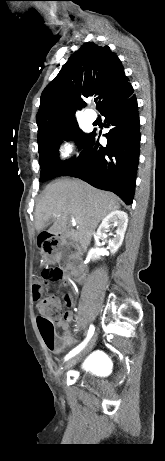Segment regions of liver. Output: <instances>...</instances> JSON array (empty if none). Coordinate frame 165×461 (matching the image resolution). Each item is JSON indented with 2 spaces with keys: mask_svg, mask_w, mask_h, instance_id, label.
Returning a JSON list of instances; mask_svg holds the SVG:
<instances>
[{
  "mask_svg": "<svg viewBox=\"0 0 165 461\" xmlns=\"http://www.w3.org/2000/svg\"><path fill=\"white\" fill-rule=\"evenodd\" d=\"M119 208L115 195L80 180L61 179L45 188L35 209V228L40 232L53 220L48 233L64 235L86 248L100 221ZM70 217L77 224L76 230L67 227Z\"/></svg>",
  "mask_w": 165,
  "mask_h": 461,
  "instance_id": "6515ba94",
  "label": "liver"
}]
</instances>
